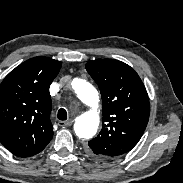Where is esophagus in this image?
<instances>
[{"label": "esophagus", "instance_id": "esophagus-1", "mask_svg": "<svg viewBox=\"0 0 183 183\" xmlns=\"http://www.w3.org/2000/svg\"><path fill=\"white\" fill-rule=\"evenodd\" d=\"M73 123V120L59 121L58 125L61 127H68Z\"/></svg>", "mask_w": 183, "mask_h": 183}]
</instances>
